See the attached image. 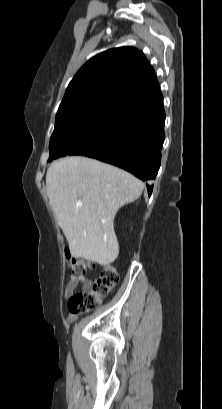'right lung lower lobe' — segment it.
<instances>
[{
    "label": "right lung lower lobe",
    "mask_w": 222,
    "mask_h": 409,
    "mask_svg": "<svg viewBox=\"0 0 222 409\" xmlns=\"http://www.w3.org/2000/svg\"><path fill=\"white\" fill-rule=\"evenodd\" d=\"M164 124L162 95L123 106L99 147L85 156L123 168L150 184L161 164ZM147 188L151 195L153 185Z\"/></svg>",
    "instance_id": "obj_1"
}]
</instances>
